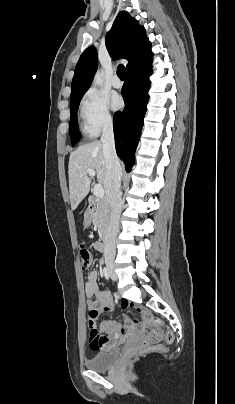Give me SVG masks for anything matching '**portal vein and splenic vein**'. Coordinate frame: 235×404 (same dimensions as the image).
<instances>
[{"mask_svg": "<svg viewBox=\"0 0 235 404\" xmlns=\"http://www.w3.org/2000/svg\"><path fill=\"white\" fill-rule=\"evenodd\" d=\"M87 173L91 176L94 177L95 176V171L93 169H87ZM94 194L96 197H103L104 196V189L102 187L101 184H96L94 186Z\"/></svg>", "mask_w": 235, "mask_h": 404, "instance_id": "1", "label": "portal vein and splenic vein"}]
</instances>
